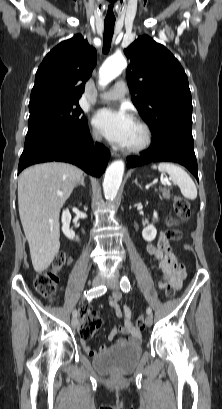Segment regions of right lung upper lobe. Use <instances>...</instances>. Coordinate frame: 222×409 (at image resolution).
<instances>
[{"instance_id":"1","label":"right lung upper lobe","mask_w":222,"mask_h":409,"mask_svg":"<svg viewBox=\"0 0 222 409\" xmlns=\"http://www.w3.org/2000/svg\"><path fill=\"white\" fill-rule=\"evenodd\" d=\"M97 53L81 34L53 48L39 66L29 108L78 101L96 65Z\"/></svg>"}]
</instances>
